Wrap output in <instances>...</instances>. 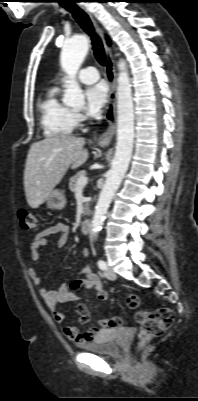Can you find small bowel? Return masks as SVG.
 <instances>
[{
  "mask_svg": "<svg viewBox=\"0 0 198 401\" xmlns=\"http://www.w3.org/2000/svg\"><path fill=\"white\" fill-rule=\"evenodd\" d=\"M56 234L59 235L56 245L58 247L64 246L70 234L69 225L62 222L53 223L45 227L42 231L34 236L30 245V254L33 262H37L39 260L40 251L46 245L47 238ZM82 255L86 259L89 258L90 251L87 247L82 249ZM28 274L36 285H40V277L34 267L28 268ZM78 275H80L82 278H76L72 281L65 282L59 287L58 290L55 291L47 290L42 286H39L38 288L39 295L44 300L48 308L52 311L54 320L59 324H63L65 322L66 316L62 311L57 309V305L64 302L78 301L80 299V292L83 289H95L96 297L100 301H106L108 299V293L103 290L101 280L92 271V268L89 264L83 267L79 271ZM80 307L86 309L83 306ZM88 320L86 322H82L79 316V321L81 323H87ZM102 332L103 331L101 328L95 326L90 327L84 332H81L75 326L66 325L63 327V334L69 340L77 343L80 346H83L87 342L96 340Z\"/></svg>",
  "mask_w": 198,
  "mask_h": 401,
  "instance_id": "1",
  "label": "small bowel"
}]
</instances>
